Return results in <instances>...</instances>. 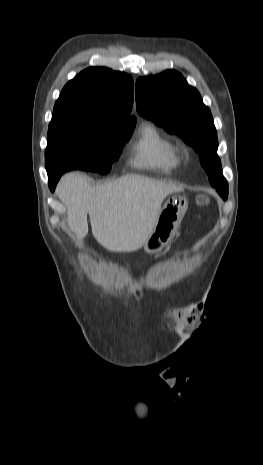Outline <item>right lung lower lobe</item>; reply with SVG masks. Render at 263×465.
Returning <instances> with one entry per match:
<instances>
[{
    "label": "right lung lower lobe",
    "mask_w": 263,
    "mask_h": 465,
    "mask_svg": "<svg viewBox=\"0 0 263 465\" xmlns=\"http://www.w3.org/2000/svg\"><path fill=\"white\" fill-rule=\"evenodd\" d=\"M61 175H48L49 187L53 191Z\"/></svg>",
    "instance_id": "98d812e1"
}]
</instances>
